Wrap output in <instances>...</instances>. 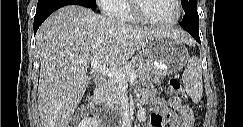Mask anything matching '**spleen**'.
<instances>
[{
	"mask_svg": "<svg viewBox=\"0 0 243 127\" xmlns=\"http://www.w3.org/2000/svg\"><path fill=\"white\" fill-rule=\"evenodd\" d=\"M186 92L194 103H199L203 93L202 71L198 57L192 56L182 74Z\"/></svg>",
	"mask_w": 243,
	"mask_h": 127,
	"instance_id": "3e777b00",
	"label": "spleen"
}]
</instances>
